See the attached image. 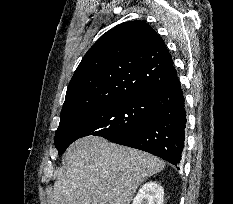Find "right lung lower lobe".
<instances>
[{
	"mask_svg": "<svg viewBox=\"0 0 233 204\" xmlns=\"http://www.w3.org/2000/svg\"><path fill=\"white\" fill-rule=\"evenodd\" d=\"M153 118L110 141L140 149L179 165L185 142V100L177 76L150 95ZM179 169V166L177 167Z\"/></svg>",
	"mask_w": 233,
	"mask_h": 204,
	"instance_id": "98d812e1",
	"label": "right lung lower lobe"
}]
</instances>
